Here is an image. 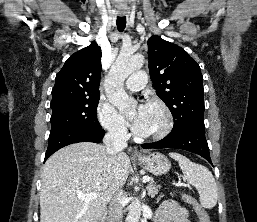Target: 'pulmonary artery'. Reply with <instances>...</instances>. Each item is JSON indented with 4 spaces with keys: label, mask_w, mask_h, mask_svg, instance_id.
Instances as JSON below:
<instances>
[{
    "label": "pulmonary artery",
    "mask_w": 257,
    "mask_h": 222,
    "mask_svg": "<svg viewBox=\"0 0 257 222\" xmlns=\"http://www.w3.org/2000/svg\"><path fill=\"white\" fill-rule=\"evenodd\" d=\"M147 83V76L144 71H138L126 80V87L132 91H138L142 89Z\"/></svg>",
    "instance_id": "1"
}]
</instances>
